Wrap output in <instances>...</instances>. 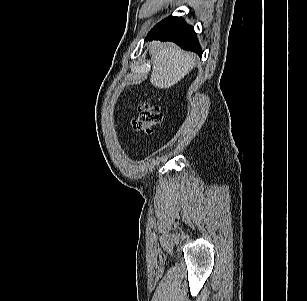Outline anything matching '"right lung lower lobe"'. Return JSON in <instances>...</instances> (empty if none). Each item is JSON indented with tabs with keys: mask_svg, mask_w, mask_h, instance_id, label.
Here are the masks:
<instances>
[{
	"mask_svg": "<svg viewBox=\"0 0 307 301\" xmlns=\"http://www.w3.org/2000/svg\"><path fill=\"white\" fill-rule=\"evenodd\" d=\"M154 39L174 41L187 50L202 54V49L193 27L186 24L181 17L169 16L156 24L146 37V40Z\"/></svg>",
	"mask_w": 307,
	"mask_h": 301,
	"instance_id": "obj_1",
	"label": "right lung lower lobe"
}]
</instances>
